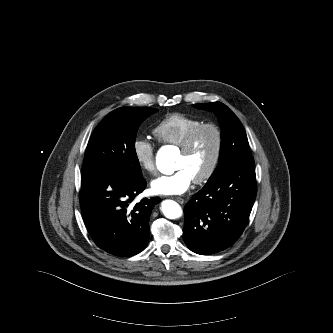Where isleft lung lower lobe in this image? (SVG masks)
Listing matches in <instances>:
<instances>
[{"instance_id": "0a47b994", "label": "left lung lower lobe", "mask_w": 333, "mask_h": 333, "mask_svg": "<svg viewBox=\"0 0 333 333\" xmlns=\"http://www.w3.org/2000/svg\"><path fill=\"white\" fill-rule=\"evenodd\" d=\"M256 193L253 164L229 168L207 182L184 208L187 247L201 255L230 247L246 227Z\"/></svg>"}]
</instances>
